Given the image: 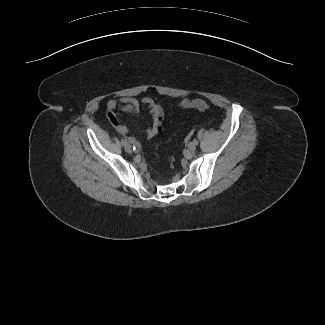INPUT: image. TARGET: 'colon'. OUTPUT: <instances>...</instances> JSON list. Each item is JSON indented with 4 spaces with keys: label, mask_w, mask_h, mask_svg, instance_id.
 Here are the masks:
<instances>
[{
    "label": "colon",
    "mask_w": 325,
    "mask_h": 325,
    "mask_svg": "<svg viewBox=\"0 0 325 325\" xmlns=\"http://www.w3.org/2000/svg\"><path fill=\"white\" fill-rule=\"evenodd\" d=\"M180 107L182 108H195L199 110H207L209 109V105L201 99H187L180 103Z\"/></svg>",
    "instance_id": "5ec220e1"
}]
</instances>
